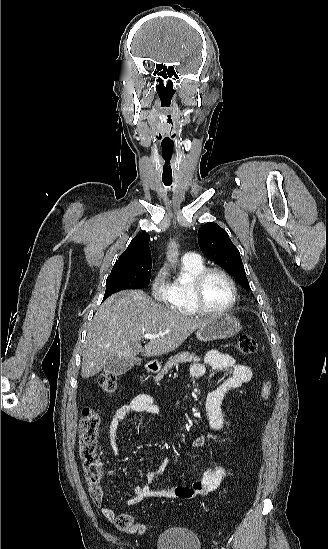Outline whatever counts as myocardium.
Wrapping results in <instances>:
<instances>
[{"mask_svg": "<svg viewBox=\"0 0 328 549\" xmlns=\"http://www.w3.org/2000/svg\"><path fill=\"white\" fill-rule=\"evenodd\" d=\"M215 272L226 277L232 288V297L229 303L223 308L217 310L207 309L201 306L206 304L202 297L203 283L209 274ZM189 292L193 303L189 307L199 316L221 317L227 315L233 310L238 299V286L234 277L227 269L218 264L206 265L202 270L194 275L190 281Z\"/></svg>", "mask_w": 328, "mask_h": 549, "instance_id": "f54148a6", "label": "myocardium"}]
</instances>
